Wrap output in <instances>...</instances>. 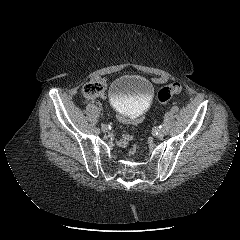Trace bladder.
<instances>
[{"instance_id":"bladder-1","label":"bladder","mask_w":240,"mask_h":240,"mask_svg":"<svg viewBox=\"0 0 240 240\" xmlns=\"http://www.w3.org/2000/svg\"><path fill=\"white\" fill-rule=\"evenodd\" d=\"M153 95L152 83L140 75H122L109 87L110 101L124 118H132L144 112L149 107Z\"/></svg>"}]
</instances>
